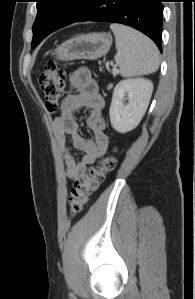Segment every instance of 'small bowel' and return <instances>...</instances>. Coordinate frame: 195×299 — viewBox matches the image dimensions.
<instances>
[{"mask_svg":"<svg viewBox=\"0 0 195 299\" xmlns=\"http://www.w3.org/2000/svg\"><path fill=\"white\" fill-rule=\"evenodd\" d=\"M70 84L75 92L66 93L60 114L53 120L52 125L64 155L67 176L71 180H78L84 176L88 166L104 155L109 140L104 133L105 122L102 116L104 100L95 79L87 69L78 68L72 71ZM82 109L87 110L86 126L93 132L94 140L86 139L79 133L74 113ZM67 138H70L73 148L83 153L79 161L70 153Z\"/></svg>","mask_w":195,"mask_h":299,"instance_id":"c3829d8e","label":"small bowel"}]
</instances>
